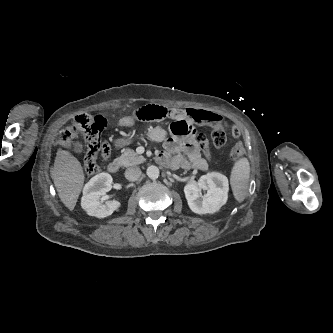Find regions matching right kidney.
Masks as SVG:
<instances>
[{"instance_id": "obj_1", "label": "right kidney", "mask_w": 333, "mask_h": 333, "mask_svg": "<svg viewBox=\"0 0 333 333\" xmlns=\"http://www.w3.org/2000/svg\"><path fill=\"white\" fill-rule=\"evenodd\" d=\"M112 181V176L103 172L95 175L85 184L81 206L88 215L105 218L121 206L117 200L107 201L105 204L100 202L101 197L111 190Z\"/></svg>"}]
</instances>
